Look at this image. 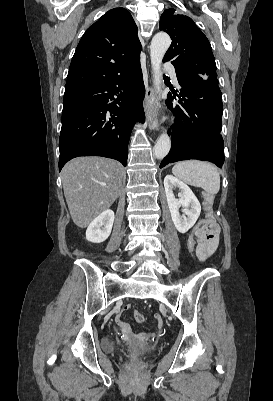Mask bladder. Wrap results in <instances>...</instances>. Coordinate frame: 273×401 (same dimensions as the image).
<instances>
[{
  "label": "bladder",
  "instance_id": "obj_1",
  "mask_svg": "<svg viewBox=\"0 0 273 401\" xmlns=\"http://www.w3.org/2000/svg\"><path fill=\"white\" fill-rule=\"evenodd\" d=\"M103 348L105 351L109 352V353H116L119 352L121 350V344L119 342H117L116 340L107 337L103 340ZM153 352V349L148 348V349H144L141 350L137 353L138 357H146L149 354H151Z\"/></svg>",
  "mask_w": 273,
  "mask_h": 401
}]
</instances>
